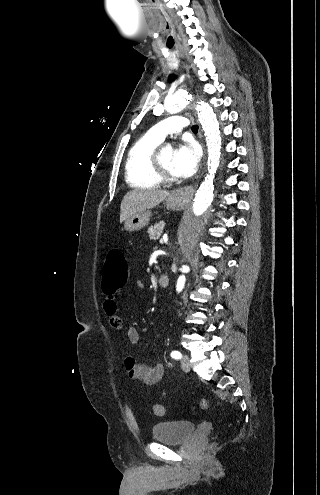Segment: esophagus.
<instances>
[{"instance_id": "esophagus-1", "label": "esophagus", "mask_w": 320, "mask_h": 495, "mask_svg": "<svg viewBox=\"0 0 320 495\" xmlns=\"http://www.w3.org/2000/svg\"><path fill=\"white\" fill-rule=\"evenodd\" d=\"M195 187L193 185L184 186L175 191V196L183 201H189L193 198Z\"/></svg>"}]
</instances>
